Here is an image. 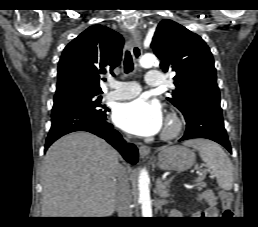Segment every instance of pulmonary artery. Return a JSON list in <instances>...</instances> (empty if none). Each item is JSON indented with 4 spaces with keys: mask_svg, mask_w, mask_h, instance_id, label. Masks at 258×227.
Segmentation results:
<instances>
[{
    "mask_svg": "<svg viewBox=\"0 0 258 227\" xmlns=\"http://www.w3.org/2000/svg\"><path fill=\"white\" fill-rule=\"evenodd\" d=\"M146 83L150 86L159 87L163 84L160 71L151 70L146 74ZM111 91L106 93L105 98L108 100L121 101L131 99L141 92L140 85L135 81L119 82L111 81Z\"/></svg>",
    "mask_w": 258,
    "mask_h": 227,
    "instance_id": "obj_1",
    "label": "pulmonary artery"
}]
</instances>
